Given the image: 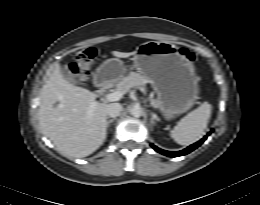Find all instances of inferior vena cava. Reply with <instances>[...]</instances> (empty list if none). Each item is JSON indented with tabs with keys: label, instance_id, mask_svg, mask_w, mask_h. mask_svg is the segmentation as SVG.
<instances>
[{
	"label": "inferior vena cava",
	"instance_id": "602c4592",
	"mask_svg": "<svg viewBox=\"0 0 260 205\" xmlns=\"http://www.w3.org/2000/svg\"><path fill=\"white\" fill-rule=\"evenodd\" d=\"M122 111V105L119 103H111L107 105L106 113L109 117H117Z\"/></svg>",
	"mask_w": 260,
	"mask_h": 205
}]
</instances>
